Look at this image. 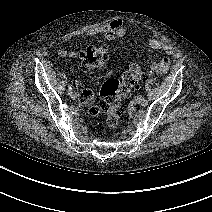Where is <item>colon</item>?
<instances>
[{
	"label": "colon",
	"mask_w": 212,
	"mask_h": 212,
	"mask_svg": "<svg viewBox=\"0 0 212 212\" xmlns=\"http://www.w3.org/2000/svg\"><path fill=\"white\" fill-rule=\"evenodd\" d=\"M108 51L103 46H90L81 51L80 65L82 70L88 71L102 66L108 60ZM146 73L138 63H132L122 74L121 79L106 80L99 92V102L93 101V93L82 100L91 116L103 115L108 128H116L121 119L124 104L132 89L145 77Z\"/></svg>",
	"instance_id": "1"
}]
</instances>
